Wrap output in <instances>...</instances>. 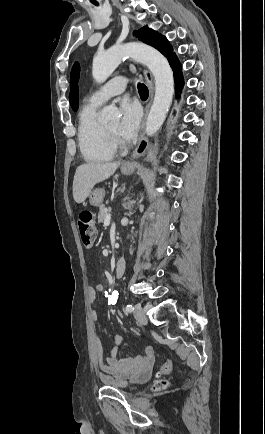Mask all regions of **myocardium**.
I'll use <instances>...</instances> for the list:
<instances>
[{"mask_svg": "<svg viewBox=\"0 0 265 434\" xmlns=\"http://www.w3.org/2000/svg\"><path fill=\"white\" fill-rule=\"evenodd\" d=\"M107 130H108V132L110 133V135L112 136V137H117V134H116V132L115 131H112L111 129H109V128H107Z\"/></svg>", "mask_w": 265, "mask_h": 434, "instance_id": "obj_1", "label": "myocardium"}]
</instances>
